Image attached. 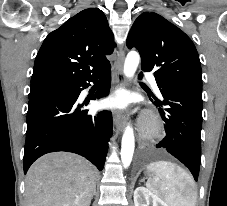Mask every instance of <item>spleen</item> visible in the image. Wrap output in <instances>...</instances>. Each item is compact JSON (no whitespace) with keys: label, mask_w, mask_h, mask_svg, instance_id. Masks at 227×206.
Returning <instances> with one entry per match:
<instances>
[{"label":"spleen","mask_w":227,"mask_h":206,"mask_svg":"<svg viewBox=\"0 0 227 206\" xmlns=\"http://www.w3.org/2000/svg\"><path fill=\"white\" fill-rule=\"evenodd\" d=\"M147 169L152 173L146 183L148 189L168 206H195L197 195L191 177L181 167L168 161H157L150 163Z\"/></svg>","instance_id":"1"}]
</instances>
